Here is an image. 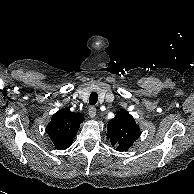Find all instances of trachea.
<instances>
[{
    "mask_svg": "<svg viewBox=\"0 0 194 194\" xmlns=\"http://www.w3.org/2000/svg\"><path fill=\"white\" fill-rule=\"evenodd\" d=\"M98 101V94L96 92H92L89 97V104L95 105Z\"/></svg>",
    "mask_w": 194,
    "mask_h": 194,
    "instance_id": "obj_1",
    "label": "trachea"
}]
</instances>
